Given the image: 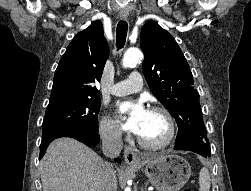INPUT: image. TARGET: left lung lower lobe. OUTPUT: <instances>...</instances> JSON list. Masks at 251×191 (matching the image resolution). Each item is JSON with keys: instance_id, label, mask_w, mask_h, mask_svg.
Here are the masks:
<instances>
[{"instance_id": "0a47b994", "label": "left lung lower lobe", "mask_w": 251, "mask_h": 191, "mask_svg": "<svg viewBox=\"0 0 251 191\" xmlns=\"http://www.w3.org/2000/svg\"><path fill=\"white\" fill-rule=\"evenodd\" d=\"M175 150H187L198 153L204 157L210 156V144L198 139H190L175 144Z\"/></svg>"}]
</instances>
